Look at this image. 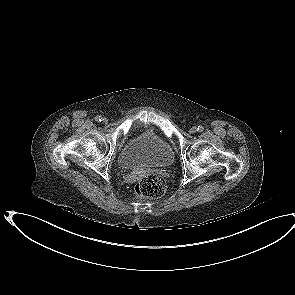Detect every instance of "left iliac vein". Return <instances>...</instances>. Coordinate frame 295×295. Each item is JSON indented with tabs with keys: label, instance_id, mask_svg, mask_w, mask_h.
Instances as JSON below:
<instances>
[{
	"label": "left iliac vein",
	"instance_id": "obj_1",
	"mask_svg": "<svg viewBox=\"0 0 295 295\" xmlns=\"http://www.w3.org/2000/svg\"><path fill=\"white\" fill-rule=\"evenodd\" d=\"M196 131H197V128L196 127H191L190 130H189V132L191 134L195 133Z\"/></svg>",
	"mask_w": 295,
	"mask_h": 295
}]
</instances>
